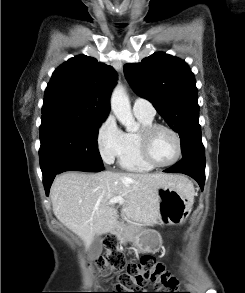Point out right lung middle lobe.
<instances>
[{
    "label": "right lung middle lobe",
    "instance_id": "dd1d6c3e",
    "mask_svg": "<svg viewBox=\"0 0 245 293\" xmlns=\"http://www.w3.org/2000/svg\"><path fill=\"white\" fill-rule=\"evenodd\" d=\"M102 121L58 113L42 115L39 157L43 176L69 161L103 165L97 148Z\"/></svg>",
    "mask_w": 245,
    "mask_h": 293
}]
</instances>
